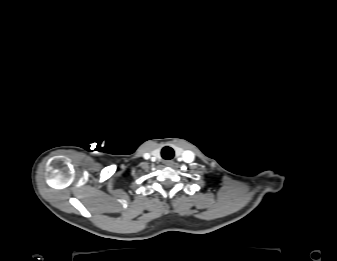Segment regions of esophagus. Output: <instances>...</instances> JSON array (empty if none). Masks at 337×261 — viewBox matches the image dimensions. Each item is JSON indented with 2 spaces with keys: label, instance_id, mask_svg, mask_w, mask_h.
Instances as JSON below:
<instances>
[{
  "label": "esophagus",
  "instance_id": "34e87169",
  "mask_svg": "<svg viewBox=\"0 0 337 261\" xmlns=\"http://www.w3.org/2000/svg\"><path fill=\"white\" fill-rule=\"evenodd\" d=\"M164 164H165L166 166H168V167H171V166H173L174 162H173L172 160H166V161L164 162Z\"/></svg>",
  "mask_w": 337,
  "mask_h": 261
}]
</instances>
